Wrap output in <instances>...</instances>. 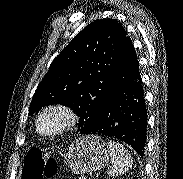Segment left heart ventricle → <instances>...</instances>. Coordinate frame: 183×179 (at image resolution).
Segmentation results:
<instances>
[{
    "mask_svg": "<svg viewBox=\"0 0 183 179\" xmlns=\"http://www.w3.org/2000/svg\"><path fill=\"white\" fill-rule=\"evenodd\" d=\"M64 123V117L58 112L47 113L41 123V127L44 131H52L60 127Z\"/></svg>",
    "mask_w": 183,
    "mask_h": 179,
    "instance_id": "1",
    "label": "left heart ventricle"
}]
</instances>
